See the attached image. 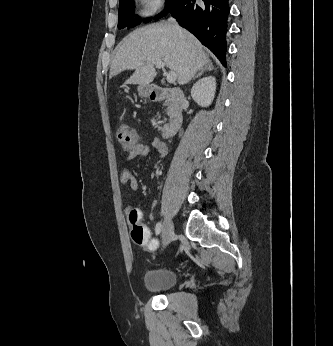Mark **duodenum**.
Wrapping results in <instances>:
<instances>
[{
    "label": "duodenum",
    "mask_w": 333,
    "mask_h": 346,
    "mask_svg": "<svg viewBox=\"0 0 333 346\" xmlns=\"http://www.w3.org/2000/svg\"><path fill=\"white\" fill-rule=\"evenodd\" d=\"M149 99L153 102L167 101L169 121L162 126L161 135L170 138L177 133L183 122L184 92L179 88H164L153 85L149 89Z\"/></svg>",
    "instance_id": "duodenum-1"
}]
</instances>
